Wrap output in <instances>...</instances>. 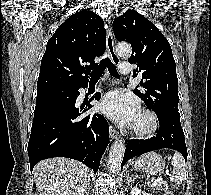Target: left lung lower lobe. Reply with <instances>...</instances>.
Instances as JSON below:
<instances>
[{"instance_id":"0a47b994","label":"left lung lower lobe","mask_w":211,"mask_h":195,"mask_svg":"<svg viewBox=\"0 0 211 195\" xmlns=\"http://www.w3.org/2000/svg\"><path fill=\"white\" fill-rule=\"evenodd\" d=\"M158 120L160 127L156 136L146 140L131 139L128 141L121 169L134 156L163 148L177 150L187 160V148L180 120L170 117H158Z\"/></svg>"}]
</instances>
